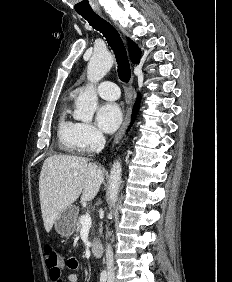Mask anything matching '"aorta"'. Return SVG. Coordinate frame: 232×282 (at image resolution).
<instances>
[{
	"instance_id": "obj_1",
	"label": "aorta",
	"mask_w": 232,
	"mask_h": 282,
	"mask_svg": "<svg viewBox=\"0 0 232 282\" xmlns=\"http://www.w3.org/2000/svg\"><path fill=\"white\" fill-rule=\"evenodd\" d=\"M113 65V57L107 50L95 51L87 65V78L91 85L81 93L76 101L74 118L91 122L97 108L98 97L94 84L100 81ZM122 166L119 160L112 165L109 178V203L115 205L121 183Z\"/></svg>"
}]
</instances>
